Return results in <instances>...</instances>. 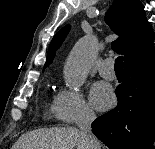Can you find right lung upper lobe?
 I'll list each match as a JSON object with an SVG mask.
<instances>
[{
  "mask_svg": "<svg viewBox=\"0 0 155 149\" xmlns=\"http://www.w3.org/2000/svg\"><path fill=\"white\" fill-rule=\"evenodd\" d=\"M105 22L119 35V38L112 42V48L125 54L124 66L147 61L155 56V34L139 0H114L105 15ZM69 30V25L63 27L52 39L44 69L52 62L55 51Z\"/></svg>",
  "mask_w": 155,
  "mask_h": 149,
  "instance_id": "obj_1",
  "label": "right lung upper lobe"
}]
</instances>
